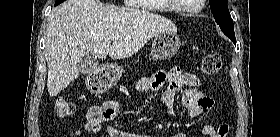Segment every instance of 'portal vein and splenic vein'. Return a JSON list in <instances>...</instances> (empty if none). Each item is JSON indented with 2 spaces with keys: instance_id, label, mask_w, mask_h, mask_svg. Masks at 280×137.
<instances>
[{
  "instance_id": "portal-vein-and-splenic-vein-1",
  "label": "portal vein and splenic vein",
  "mask_w": 280,
  "mask_h": 137,
  "mask_svg": "<svg viewBox=\"0 0 280 137\" xmlns=\"http://www.w3.org/2000/svg\"><path fill=\"white\" fill-rule=\"evenodd\" d=\"M112 39H114V40L119 39V35H113V36H112Z\"/></svg>"
}]
</instances>
